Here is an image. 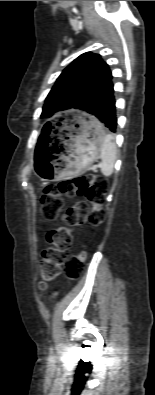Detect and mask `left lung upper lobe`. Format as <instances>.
Here are the masks:
<instances>
[{"mask_svg": "<svg viewBox=\"0 0 155 395\" xmlns=\"http://www.w3.org/2000/svg\"><path fill=\"white\" fill-rule=\"evenodd\" d=\"M111 75L108 64L99 54L84 53L66 67L49 92L41 116L56 111L79 109L82 101Z\"/></svg>", "mask_w": 155, "mask_h": 395, "instance_id": "5c2ea615", "label": "left lung upper lobe"}]
</instances>
